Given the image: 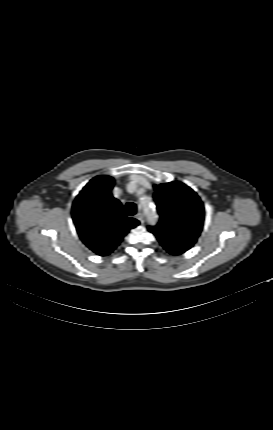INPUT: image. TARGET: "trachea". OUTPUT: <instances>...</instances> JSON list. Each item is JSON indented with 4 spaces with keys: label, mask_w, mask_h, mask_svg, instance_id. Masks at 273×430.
Returning a JSON list of instances; mask_svg holds the SVG:
<instances>
[{
    "label": "trachea",
    "mask_w": 273,
    "mask_h": 430,
    "mask_svg": "<svg viewBox=\"0 0 273 430\" xmlns=\"http://www.w3.org/2000/svg\"><path fill=\"white\" fill-rule=\"evenodd\" d=\"M125 209H126L127 216H133L137 211V206L134 203L129 202L126 204Z\"/></svg>",
    "instance_id": "trachea-1"
}]
</instances>
